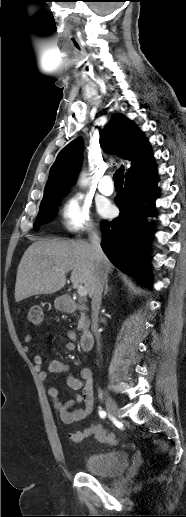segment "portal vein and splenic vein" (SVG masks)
Returning <instances> with one entry per match:
<instances>
[{"mask_svg":"<svg viewBox=\"0 0 186 517\" xmlns=\"http://www.w3.org/2000/svg\"><path fill=\"white\" fill-rule=\"evenodd\" d=\"M77 292L81 297H85L87 295V291L84 286L78 285L77 286Z\"/></svg>","mask_w":186,"mask_h":517,"instance_id":"portal-vein-and-splenic-vein-1","label":"portal vein and splenic vein"}]
</instances>
